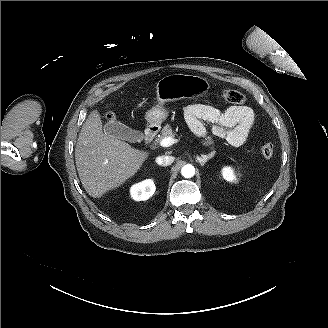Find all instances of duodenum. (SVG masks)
<instances>
[{
	"instance_id": "1",
	"label": "duodenum",
	"mask_w": 328,
	"mask_h": 328,
	"mask_svg": "<svg viewBox=\"0 0 328 328\" xmlns=\"http://www.w3.org/2000/svg\"><path fill=\"white\" fill-rule=\"evenodd\" d=\"M156 135V128L153 126H150L146 129L145 135H144V142L145 144H149L152 142Z\"/></svg>"
}]
</instances>
